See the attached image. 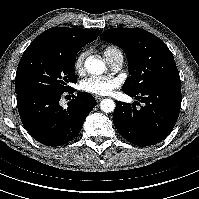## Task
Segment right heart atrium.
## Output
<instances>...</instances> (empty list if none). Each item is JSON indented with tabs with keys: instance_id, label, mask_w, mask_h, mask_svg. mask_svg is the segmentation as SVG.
I'll list each match as a JSON object with an SVG mask.
<instances>
[{
	"instance_id": "d8ad5b80",
	"label": "right heart atrium",
	"mask_w": 199,
	"mask_h": 199,
	"mask_svg": "<svg viewBox=\"0 0 199 199\" xmlns=\"http://www.w3.org/2000/svg\"><path fill=\"white\" fill-rule=\"evenodd\" d=\"M89 54V51L80 52L74 60V70L76 73H82L84 71V62Z\"/></svg>"
}]
</instances>
